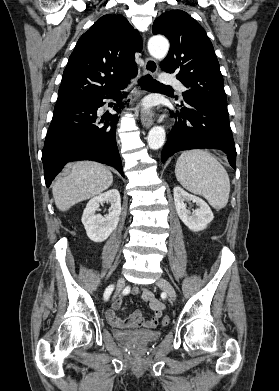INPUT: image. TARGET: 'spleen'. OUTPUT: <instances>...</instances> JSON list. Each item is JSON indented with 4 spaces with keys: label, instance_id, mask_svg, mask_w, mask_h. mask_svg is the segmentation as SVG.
Wrapping results in <instances>:
<instances>
[{
    "label": "spleen",
    "instance_id": "1",
    "mask_svg": "<svg viewBox=\"0 0 279 391\" xmlns=\"http://www.w3.org/2000/svg\"><path fill=\"white\" fill-rule=\"evenodd\" d=\"M178 182L188 191L203 196L215 209L224 208L229 199L230 180L225 168L208 151H185L175 166Z\"/></svg>",
    "mask_w": 279,
    "mask_h": 391
}]
</instances>
